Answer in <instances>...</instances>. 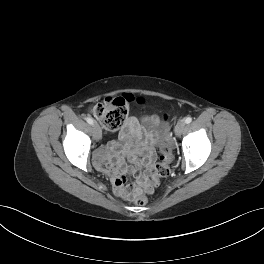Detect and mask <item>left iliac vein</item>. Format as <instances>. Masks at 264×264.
<instances>
[{
    "label": "left iliac vein",
    "mask_w": 264,
    "mask_h": 264,
    "mask_svg": "<svg viewBox=\"0 0 264 264\" xmlns=\"http://www.w3.org/2000/svg\"><path fill=\"white\" fill-rule=\"evenodd\" d=\"M184 127H185V122H184L183 120L179 121V122L176 124V126H175V134H176L177 136H179V135L182 133Z\"/></svg>",
    "instance_id": "left-iliac-vein-1"
}]
</instances>
